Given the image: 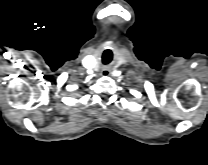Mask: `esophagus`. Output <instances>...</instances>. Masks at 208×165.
Wrapping results in <instances>:
<instances>
[{"label":"esophagus","mask_w":208,"mask_h":165,"mask_svg":"<svg viewBox=\"0 0 208 165\" xmlns=\"http://www.w3.org/2000/svg\"><path fill=\"white\" fill-rule=\"evenodd\" d=\"M110 73H109V70H107V69H103L102 71H101V75L102 76H108Z\"/></svg>","instance_id":"obj_1"}]
</instances>
